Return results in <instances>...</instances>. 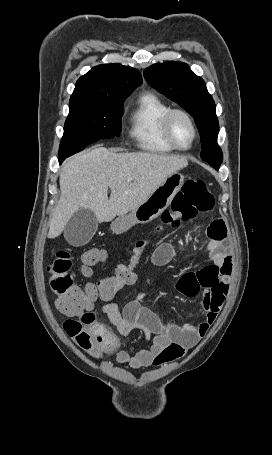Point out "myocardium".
Instances as JSON below:
<instances>
[{
	"label": "myocardium",
	"instance_id": "myocardium-1",
	"mask_svg": "<svg viewBox=\"0 0 272 455\" xmlns=\"http://www.w3.org/2000/svg\"><path fill=\"white\" fill-rule=\"evenodd\" d=\"M176 115H180V116L184 117L188 121L190 126H191V129H192V132H193V137H192V140H191L190 144L187 147L179 146L175 142V140H174V138L172 136L171 123H172L173 118ZM162 133H163V137H164L165 141L174 150L182 151V152L190 150L193 147V145L196 142L197 137H198V129H197V126L195 124L194 119L192 118V116L187 111H185L183 109H179V108H170L165 113V115L163 116V119H162Z\"/></svg>",
	"mask_w": 272,
	"mask_h": 455
}]
</instances>
